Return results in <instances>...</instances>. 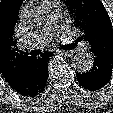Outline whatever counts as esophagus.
Returning a JSON list of instances; mask_svg holds the SVG:
<instances>
[{"label": "esophagus", "instance_id": "esophagus-1", "mask_svg": "<svg viewBox=\"0 0 113 113\" xmlns=\"http://www.w3.org/2000/svg\"><path fill=\"white\" fill-rule=\"evenodd\" d=\"M57 52H62L64 55H66V56H72V55H74V53H75V51H73V50H57Z\"/></svg>", "mask_w": 113, "mask_h": 113}]
</instances>
